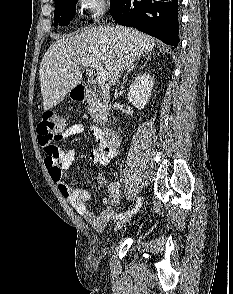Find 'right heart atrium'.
Returning <instances> with one entry per match:
<instances>
[{"label":"right heart atrium","instance_id":"right-heart-atrium-1","mask_svg":"<svg viewBox=\"0 0 233 294\" xmlns=\"http://www.w3.org/2000/svg\"><path fill=\"white\" fill-rule=\"evenodd\" d=\"M81 14L93 22H98L108 9V0H77Z\"/></svg>","mask_w":233,"mask_h":294}]
</instances>
